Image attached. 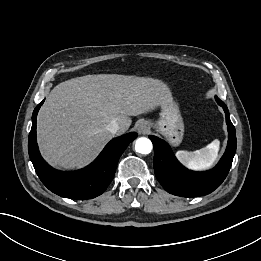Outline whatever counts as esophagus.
I'll use <instances>...</instances> for the list:
<instances>
[{
  "mask_svg": "<svg viewBox=\"0 0 261 261\" xmlns=\"http://www.w3.org/2000/svg\"><path fill=\"white\" fill-rule=\"evenodd\" d=\"M150 129V124L147 121H141L137 125V131L139 134H146Z\"/></svg>",
  "mask_w": 261,
  "mask_h": 261,
  "instance_id": "esophagus-1",
  "label": "esophagus"
}]
</instances>
